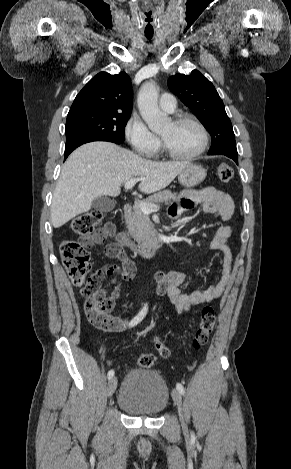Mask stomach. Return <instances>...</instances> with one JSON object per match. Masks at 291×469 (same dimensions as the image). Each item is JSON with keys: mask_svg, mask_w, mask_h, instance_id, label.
<instances>
[{"mask_svg": "<svg viewBox=\"0 0 291 469\" xmlns=\"http://www.w3.org/2000/svg\"><path fill=\"white\" fill-rule=\"evenodd\" d=\"M206 177V170L197 164H190L185 167L178 175L181 185L186 188H192L200 184Z\"/></svg>", "mask_w": 291, "mask_h": 469, "instance_id": "0dacf381", "label": "stomach"}]
</instances>
